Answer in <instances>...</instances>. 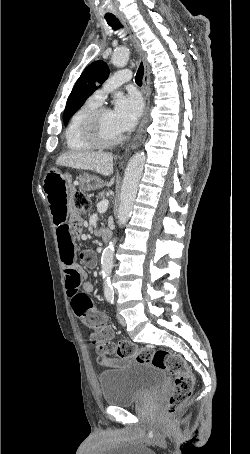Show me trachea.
I'll return each mask as SVG.
<instances>
[{
    "label": "trachea",
    "instance_id": "1",
    "mask_svg": "<svg viewBox=\"0 0 250 454\" xmlns=\"http://www.w3.org/2000/svg\"><path fill=\"white\" fill-rule=\"evenodd\" d=\"M105 19H106L108 25L112 27V29L118 30V29L123 28L122 24L119 22V20L115 16H106ZM143 74H144V67L141 62L140 66L138 68V71L136 73V76H135V82L138 85H142Z\"/></svg>",
    "mask_w": 250,
    "mask_h": 454
}]
</instances>
